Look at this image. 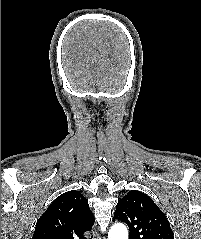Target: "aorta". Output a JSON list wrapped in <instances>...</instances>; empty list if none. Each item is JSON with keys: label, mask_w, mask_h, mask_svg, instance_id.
<instances>
[{"label": "aorta", "mask_w": 201, "mask_h": 239, "mask_svg": "<svg viewBox=\"0 0 201 239\" xmlns=\"http://www.w3.org/2000/svg\"><path fill=\"white\" fill-rule=\"evenodd\" d=\"M108 239H128V230L122 223L114 224L108 234Z\"/></svg>", "instance_id": "1"}]
</instances>
